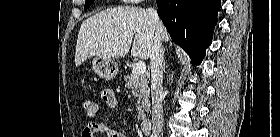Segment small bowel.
Returning a JSON list of instances; mask_svg holds the SVG:
<instances>
[{
	"mask_svg": "<svg viewBox=\"0 0 280 137\" xmlns=\"http://www.w3.org/2000/svg\"><path fill=\"white\" fill-rule=\"evenodd\" d=\"M112 92L111 90H107ZM106 104L111 107H116V98L111 101H106ZM94 134H106V137H125L121 132L111 128L109 125L105 123H90L88 124L83 132L82 137H91Z\"/></svg>",
	"mask_w": 280,
	"mask_h": 137,
	"instance_id": "c3829d8e",
	"label": "small bowel"
}]
</instances>
